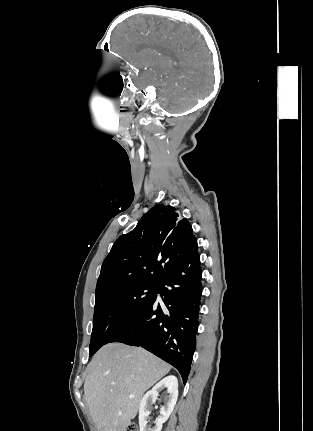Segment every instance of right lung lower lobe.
<instances>
[{
  "mask_svg": "<svg viewBox=\"0 0 313 431\" xmlns=\"http://www.w3.org/2000/svg\"><path fill=\"white\" fill-rule=\"evenodd\" d=\"M197 248L195 238L184 257L157 285L153 296L107 341L145 348L178 369L184 384L195 351L202 294ZM157 293L161 302L156 299Z\"/></svg>",
  "mask_w": 313,
  "mask_h": 431,
  "instance_id": "obj_1",
  "label": "right lung lower lobe"
}]
</instances>
